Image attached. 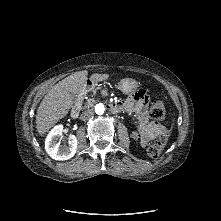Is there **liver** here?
I'll return each mask as SVG.
<instances>
[{
	"label": "liver",
	"mask_w": 221,
	"mask_h": 221,
	"mask_svg": "<svg viewBox=\"0 0 221 221\" xmlns=\"http://www.w3.org/2000/svg\"><path fill=\"white\" fill-rule=\"evenodd\" d=\"M86 70L76 72L55 84L41 101L36 114V129L44 136L58 121L64 118L74 103L75 97L86 92ZM108 74H93L91 82H101Z\"/></svg>",
	"instance_id": "1"
}]
</instances>
